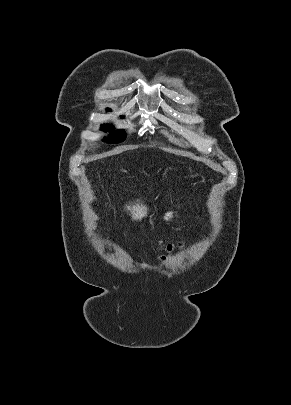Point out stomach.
I'll use <instances>...</instances> for the list:
<instances>
[{"mask_svg": "<svg viewBox=\"0 0 291 405\" xmlns=\"http://www.w3.org/2000/svg\"><path fill=\"white\" fill-rule=\"evenodd\" d=\"M173 218V212H167L166 214H165V216H164V219L166 220V221H169V220H171Z\"/></svg>", "mask_w": 291, "mask_h": 405, "instance_id": "1", "label": "stomach"}]
</instances>
